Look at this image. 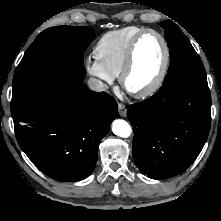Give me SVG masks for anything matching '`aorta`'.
Wrapping results in <instances>:
<instances>
[{"instance_id":"aorta-1","label":"aorta","mask_w":221,"mask_h":221,"mask_svg":"<svg viewBox=\"0 0 221 221\" xmlns=\"http://www.w3.org/2000/svg\"><path fill=\"white\" fill-rule=\"evenodd\" d=\"M112 131L119 137L127 138L131 134V127L125 120L116 119L112 123Z\"/></svg>"}]
</instances>
